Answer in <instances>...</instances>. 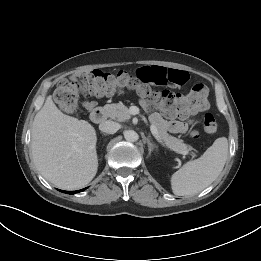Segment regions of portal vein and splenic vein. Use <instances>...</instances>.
<instances>
[{"label":"portal vein and splenic vein","instance_id":"obj_1","mask_svg":"<svg viewBox=\"0 0 261 261\" xmlns=\"http://www.w3.org/2000/svg\"><path fill=\"white\" fill-rule=\"evenodd\" d=\"M150 131H151L152 135H153L159 142H162L161 139H160V137H159V135H158V130H157V128H156L155 125H153V124L150 125ZM185 154H187V153H185Z\"/></svg>","mask_w":261,"mask_h":261}]
</instances>
